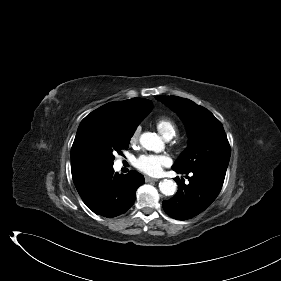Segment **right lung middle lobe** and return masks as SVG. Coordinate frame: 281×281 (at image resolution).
Here are the masks:
<instances>
[{
  "label": "right lung middle lobe",
  "mask_w": 281,
  "mask_h": 281,
  "mask_svg": "<svg viewBox=\"0 0 281 281\" xmlns=\"http://www.w3.org/2000/svg\"><path fill=\"white\" fill-rule=\"evenodd\" d=\"M134 132L111 135L96 151V158L102 168L112 167L115 156L122 149H128L130 138Z\"/></svg>",
  "instance_id": "1"
}]
</instances>
